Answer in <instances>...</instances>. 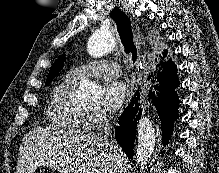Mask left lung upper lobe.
<instances>
[{"instance_id": "left-lung-upper-lobe-1", "label": "left lung upper lobe", "mask_w": 219, "mask_h": 173, "mask_svg": "<svg viewBox=\"0 0 219 173\" xmlns=\"http://www.w3.org/2000/svg\"><path fill=\"white\" fill-rule=\"evenodd\" d=\"M65 56L61 55L52 65L49 74L47 76L46 85L49 84L60 72L64 66Z\"/></svg>"}]
</instances>
